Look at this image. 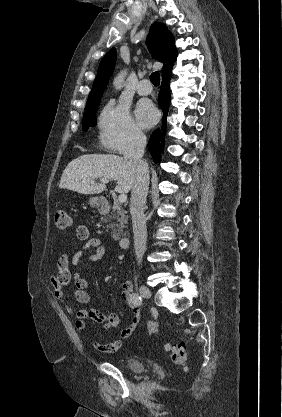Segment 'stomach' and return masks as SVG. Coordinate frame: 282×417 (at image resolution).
Masks as SVG:
<instances>
[{
  "instance_id": "0dacf381",
  "label": "stomach",
  "mask_w": 282,
  "mask_h": 417,
  "mask_svg": "<svg viewBox=\"0 0 282 417\" xmlns=\"http://www.w3.org/2000/svg\"><path fill=\"white\" fill-rule=\"evenodd\" d=\"M103 200V196H91L88 204H91V206H99L100 202H103Z\"/></svg>"
}]
</instances>
